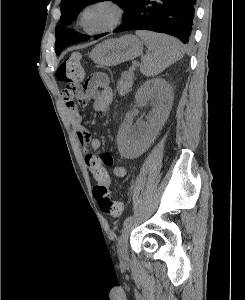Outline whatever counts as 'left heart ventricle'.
I'll list each match as a JSON object with an SVG mask.
<instances>
[{"label":"left heart ventricle","mask_w":245,"mask_h":300,"mask_svg":"<svg viewBox=\"0 0 245 300\" xmlns=\"http://www.w3.org/2000/svg\"><path fill=\"white\" fill-rule=\"evenodd\" d=\"M112 13L106 8H95L85 16V25L90 29H96L107 25L112 20Z\"/></svg>","instance_id":"obj_1"}]
</instances>
